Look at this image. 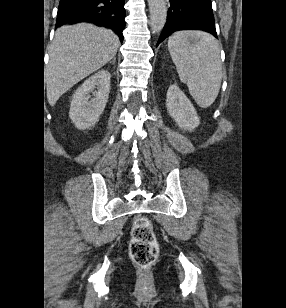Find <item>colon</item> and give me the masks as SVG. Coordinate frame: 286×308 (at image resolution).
Listing matches in <instances>:
<instances>
[{"mask_svg":"<svg viewBox=\"0 0 286 308\" xmlns=\"http://www.w3.org/2000/svg\"><path fill=\"white\" fill-rule=\"evenodd\" d=\"M129 251L134 263L140 267H149L156 261L159 244L149 218L141 216L134 221Z\"/></svg>","mask_w":286,"mask_h":308,"instance_id":"obj_1","label":"colon"}]
</instances>
